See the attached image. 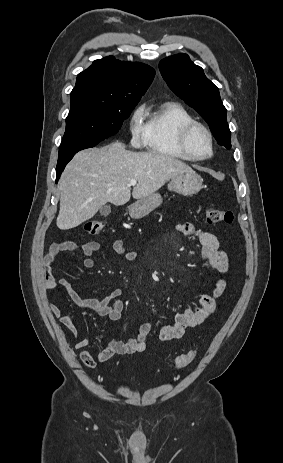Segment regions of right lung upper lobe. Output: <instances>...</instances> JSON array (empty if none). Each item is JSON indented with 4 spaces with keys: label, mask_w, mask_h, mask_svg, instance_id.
<instances>
[{
    "label": "right lung upper lobe",
    "mask_w": 283,
    "mask_h": 463,
    "mask_svg": "<svg viewBox=\"0 0 283 463\" xmlns=\"http://www.w3.org/2000/svg\"><path fill=\"white\" fill-rule=\"evenodd\" d=\"M155 70L142 63L122 62L113 56L95 60L77 76L71 94L140 101L152 83Z\"/></svg>",
    "instance_id": "cb5924a9"
}]
</instances>
